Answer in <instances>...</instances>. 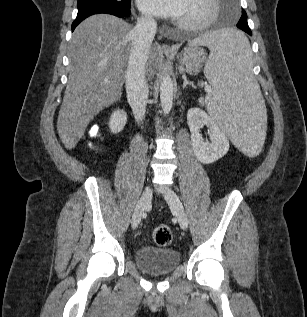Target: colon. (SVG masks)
<instances>
[{"label": "colon", "mask_w": 307, "mask_h": 317, "mask_svg": "<svg viewBox=\"0 0 307 317\" xmlns=\"http://www.w3.org/2000/svg\"><path fill=\"white\" fill-rule=\"evenodd\" d=\"M90 136L93 138L100 136L98 126H94L90 131ZM153 241L159 247H167L173 241V234L169 226L165 224L158 225L153 231Z\"/></svg>", "instance_id": "1"}]
</instances>
